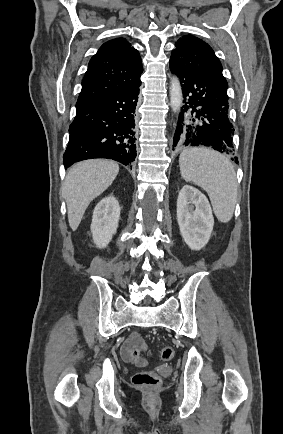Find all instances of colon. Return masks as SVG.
I'll use <instances>...</instances> for the list:
<instances>
[{
  "instance_id": "colon-1",
  "label": "colon",
  "mask_w": 283,
  "mask_h": 434,
  "mask_svg": "<svg viewBox=\"0 0 283 434\" xmlns=\"http://www.w3.org/2000/svg\"><path fill=\"white\" fill-rule=\"evenodd\" d=\"M132 355L133 357H139L140 351L134 349ZM159 356L162 360L168 361L174 357V351L170 347H165L159 351ZM132 382L137 387L154 388L161 383V378L153 371H140L133 376Z\"/></svg>"
}]
</instances>
